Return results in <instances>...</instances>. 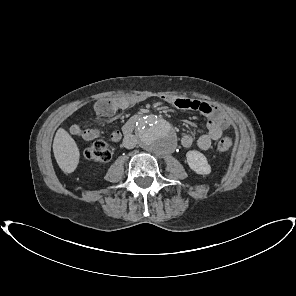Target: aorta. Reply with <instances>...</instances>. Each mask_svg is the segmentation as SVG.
Segmentation results:
<instances>
[{
  "label": "aorta",
  "instance_id": "obj_1",
  "mask_svg": "<svg viewBox=\"0 0 296 296\" xmlns=\"http://www.w3.org/2000/svg\"><path fill=\"white\" fill-rule=\"evenodd\" d=\"M137 137L140 146L155 155L170 153L176 146L171 124L155 115H147L138 121Z\"/></svg>",
  "mask_w": 296,
  "mask_h": 296
}]
</instances>
